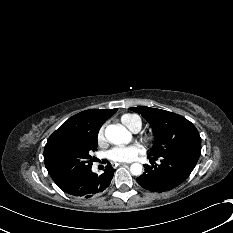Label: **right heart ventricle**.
<instances>
[{
	"mask_svg": "<svg viewBox=\"0 0 233 233\" xmlns=\"http://www.w3.org/2000/svg\"><path fill=\"white\" fill-rule=\"evenodd\" d=\"M120 122L130 131L137 132L142 126V119L136 114L126 113L120 117Z\"/></svg>",
	"mask_w": 233,
	"mask_h": 233,
	"instance_id": "obj_1",
	"label": "right heart ventricle"
}]
</instances>
